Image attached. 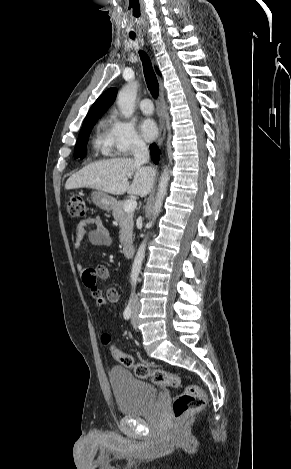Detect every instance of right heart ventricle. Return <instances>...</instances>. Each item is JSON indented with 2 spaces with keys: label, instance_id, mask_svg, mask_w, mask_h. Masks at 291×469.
Returning a JSON list of instances; mask_svg holds the SVG:
<instances>
[{
  "label": "right heart ventricle",
  "instance_id": "e07e8e85",
  "mask_svg": "<svg viewBox=\"0 0 291 469\" xmlns=\"http://www.w3.org/2000/svg\"><path fill=\"white\" fill-rule=\"evenodd\" d=\"M104 124L100 123L99 130L93 139V148L96 152L102 153L103 155H109L111 152L108 148L106 135L101 131Z\"/></svg>",
  "mask_w": 291,
  "mask_h": 469
}]
</instances>
